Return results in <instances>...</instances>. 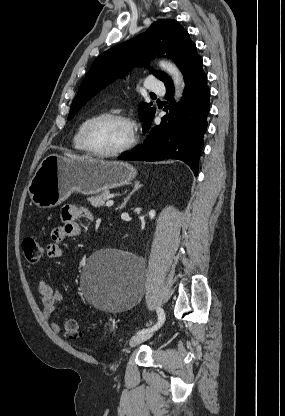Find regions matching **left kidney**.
<instances>
[{"mask_svg":"<svg viewBox=\"0 0 285 416\" xmlns=\"http://www.w3.org/2000/svg\"><path fill=\"white\" fill-rule=\"evenodd\" d=\"M149 216H150L151 220H153V218H155L156 214H155L154 210H151V212H149Z\"/></svg>","mask_w":285,"mask_h":416,"instance_id":"left-kidney-1","label":"left kidney"}]
</instances>
